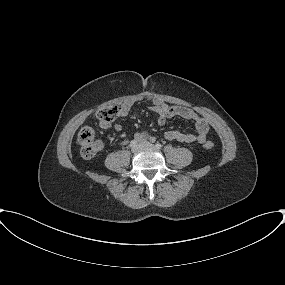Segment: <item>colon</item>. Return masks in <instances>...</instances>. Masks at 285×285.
I'll list each match as a JSON object with an SVG mask.
<instances>
[{
    "instance_id": "5ec220e1",
    "label": "colon",
    "mask_w": 285,
    "mask_h": 285,
    "mask_svg": "<svg viewBox=\"0 0 285 285\" xmlns=\"http://www.w3.org/2000/svg\"><path fill=\"white\" fill-rule=\"evenodd\" d=\"M122 113V107L119 105H110L100 109L97 112V118L103 123H110L117 119ZM77 141L80 146L81 156L85 159L94 158L101 150L102 143L96 139L95 133L92 128H82L77 136ZM204 147L208 150L214 147L213 142L207 141Z\"/></svg>"
}]
</instances>
